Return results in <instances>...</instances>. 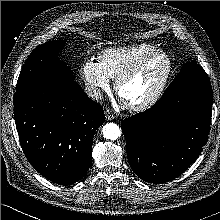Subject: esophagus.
<instances>
[{"instance_id":"obj_1","label":"esophagus","mask_w":220,"mask_h":220,"mask_svg":"<svg viewBox=\"0 0 220 220\" xmlns=\"http://www.w3.org/2000/svg\"><path fill=\"white\" fill-rule=\"evenodd\" d=\"M105 118L107 121L113 120L115 118V115L109 110H105Z\"/></svg>"}]
</instances>
